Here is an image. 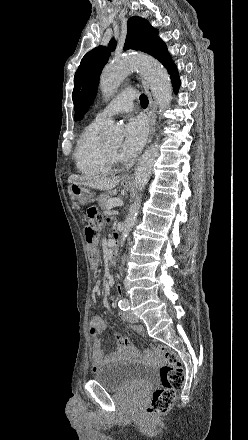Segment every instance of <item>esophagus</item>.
Wrapping results in <instances>:
<instances>
[{
	"label": "esophagus",
	"mask_w": 248,
	"mask_h": 440,
	"mask_svg": "<svg viewBox=\"0 0 248 440\" xmlns=\"http://www.w3.org/2000/svg\"><path fill=\"white\" fill-rule=\"evenodd\" d=\"M142 85L148 95L149 98V105H148V109H147V114H148V119H149V127H150V133H149V138H148V144L151 142L153 135L155 133V123H156V117H155V108H156V99L153 93V90L150 86V84L143 80L142 81ZM131 177V174L128 173L126 175H124V179H129Z\"/></svg>",
	"instance_id": "34e87169"
}]
</instances>
